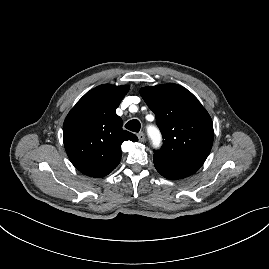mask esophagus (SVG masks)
<instances>
[{
    "label": "esophagus",
    "mask_w": 269,
    "mask_h": 269,
    "mask_svg": "<svg viewBox=\"0 0 269 269\" xmlns=\"http://www.w3.org/2000/svg\"><path fill=\"white\" fill-rule=\"evenodd\" d=\"M138 139L140 142L145 141V134L143 132L138 133Z\"/></svg>",
    "instance_id": "esophagus-1"
}]
</instances>
